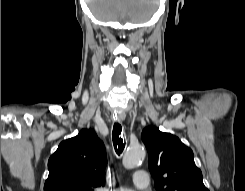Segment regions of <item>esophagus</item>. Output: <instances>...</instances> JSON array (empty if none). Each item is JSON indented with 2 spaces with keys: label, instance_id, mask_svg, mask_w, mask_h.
Listing matches in <instances>:
<instances>
[{
  "label": "esophagus",
  "instance_id": "obj_1",
  "mask_svg": "<svg viewBox=\"0 0 245 191\" xmlns=\"http://www.w3.org/2000/svg\"><path fill=\"white\" fill-rule=\"evenodd\" d=\"M125 113H120V114H118L117 116H116V118H115V121H117V122H122V121H124L125 120Z\"/></svg>",
  "mask_w": 245,
  "mask_h": 191
}]
</instances>
